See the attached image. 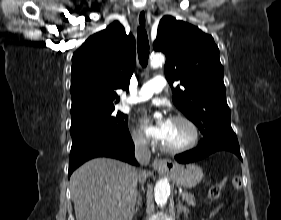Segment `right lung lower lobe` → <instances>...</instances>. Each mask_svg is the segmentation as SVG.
Listing matches in <instances>:
<instances>
[{"label":"right lung lower lobe","mask_w":281,"mask_h":220,"mask_svg":"<svg viewBox=\"0 0 281 220\" xmlns=\"http://www.w3.org/2000/svg\"><path fill=\"white\" fill-rule=\"evenodd\" d=\"M96 157H111L137 164L130 134L112 137L88 136L72 141L68 175L84 162Z\"/></svg>","instance_id":"right-lung-lower-lobe-1"}]
</instances>
